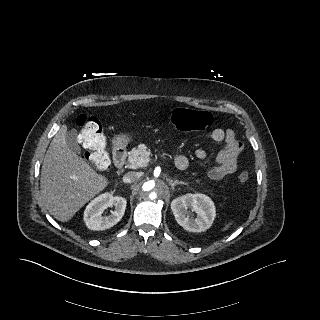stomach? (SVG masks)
<instances>
[{
	"mask_svg": "<svg viewBox=\"0 0 320 320\" xmlns=\"http://www.w3.org/2000/svg\"><path fill=\"white\" fill-rule=\"evenodd\" d=\"M129 141H130V136L127 134H120L115 139V143L117 147L125 146Z\"/></svg>",
	"mask_w": 320,
	"mask_h": 320,
	"instance_id": "1",
	"label": "stomach"
}]
</instances>
